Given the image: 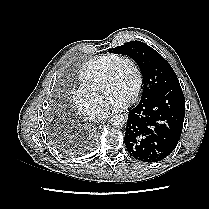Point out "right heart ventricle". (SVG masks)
<instances>
[{"instance_id": "1", "label": "right heart ventricle", "mask_w": 209, "mask_h": 209, "mask_svg": "<svg viewBox=\"0 0 209 209\" xmlns=\"http://www.w3.org/2000/svg\"><path fill=\"white\" fill-rule=\"evenodd\" d=\"M119 56L117 54H104L90 59L80 69L77 76L81 87L100 92L107 68Z\"/></svg>"}]
</instances>
